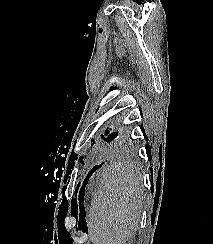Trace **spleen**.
<instances>
[{
	"mask_svg": "<svg viewBox=\"0 0 213 244\" xmlns=\"http://www.w3.org/2000/svg\"><path fill=\"white\" fill-rule=\"evenodd\" d=\"M100 183L88 215L91 239L95 244H125L142 212L143 179L131 167L111 163L103 169Z\"/></svg>",
	"mask_w": 213,
	"mask_h": 244,
	"instance_id": "spleen-1",
	"label": "spleen"
}]
</instances>
